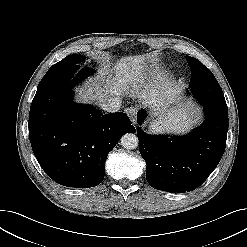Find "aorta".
<instances>
[{
    "instance_id": "1",
    "label": "aorta",
    "mask_w": 247,
    "mask_h": 247,
    "mask_svg": "<svg viewBox=\"0 0 247 247\" xmlns=\"http://www.w3.org/2000/svg\"><path fill=\"white\" fill-rule=\"evenodd\" d=\"M121 145L123 148L132 150L138 147V137L134 133H126L121 137Z\"/></svg>"
}]
</instances>
